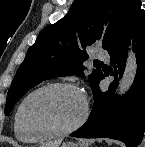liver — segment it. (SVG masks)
<instances>
[{
	"mask_svg": "<svg viewBox=\"0 0 145 147\" xmlns=\"http://www.w3.org/2000/svg\"><path fill=\"white\" fill-rule=\"evenodd\" d=\"M60 144H61V140H56L53 142H48V143L42 145L41 147H59Z\"/></svg>",
	"mask_w": 145,
	"mask_h": 147,
	"instance_id": "6515ba94",
	"label": "liver"
}]
</instances>
